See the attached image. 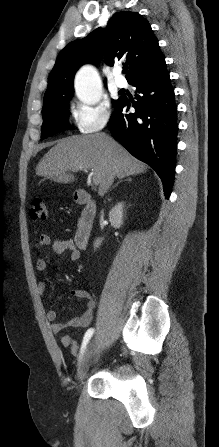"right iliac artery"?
I'll return each instance as SVG.
<instances>
[{
  "label": "right iliac artery",
  "mask_w": 219,
  "mask_h": 447,
  "mask_svg": "<svg viewBox=\"0 0 219 447\" xmlns=\"http://www.w3.org/2000/svg\"><path fill=\"white\" fill-rule=\"evenodd\" d=\"M93 333H94V329L93 328L88 329L87 332L85 333L84 338H83V342H82V345H81V349H80L79 359H81V357L83 356V353L85 352L86 346H87L90 338L92 337Z\"/></svg>",
  "instance_id": "1"
}]
</instances>
